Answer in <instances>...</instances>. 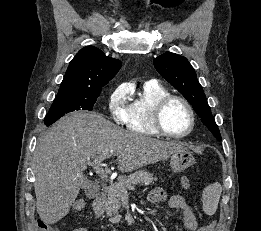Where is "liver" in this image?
<instances>
[{
  "label": "liver",
  "mask_w": 261,
  "mask_h": 231,
  "mask_svg": "<svg viewBox=\"0 0 261 231\" xmlns=\"http://www.w3.org/2000/svg\"><path fill=\"white\" fill-rule=\"evenodd\" d=\"M184 149L181 142L123 130L100 114L66 115L38 139L33 158L37 212L46 224L68 214L80 189L88 188L83 172L90 157L113 150L118 169L131 172Z\"/></svg>",
  "instance_id": "6515ba94"
}]
</instances>
